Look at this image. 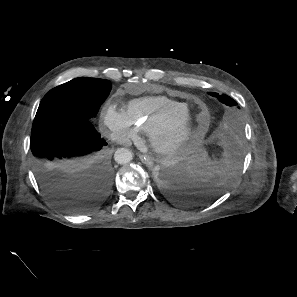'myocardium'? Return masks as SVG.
<instances>
[{
    "mask_svg": "<svg viewBox=\"0 0 297 297\" xmlns=\"http://www.w3.org/2000/svg\"><path fill=\"white\" fill-rule=\"evenodd\" d=\"M182 125V133L170 142H163L162 136L173 126ZM198 128V120L187 108L186 110L159 120L147 131L148 142L153 152L161 157H169L177 153L191 140Z\"/></svg>",
    "mask_w": 297,
    "mask_h": 297,
    "instance_id": "f54148a6",
    "label": "myocardium"
}]
</instances>
